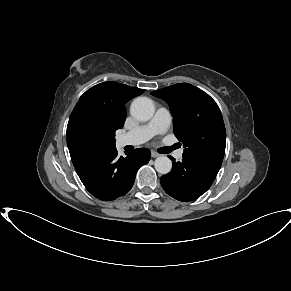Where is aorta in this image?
Here are the masks:
<instances>
[{
	"label": "aorta",
	"mask_w": 291,
	"mask_h": 291,
	"mask_svg": "<svg viewBox=\"0 0 291 291\" xmlns=\"http://www.w3.org/2000/svg\"><path fill=\"white\" fill-rule=\"evenodd\" d=\"M154 112V103L147 97L136 98L130 106L131 115L139 121L150 120ZM154 166L158 173L164 175L171 171L172 162L167 156H159L155 159Z\"/></svg>",
	"instance_id": "1"
}]
</instances>
